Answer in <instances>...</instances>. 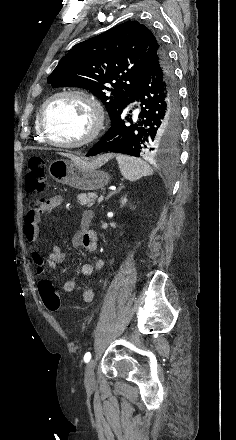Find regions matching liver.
<instances>
[{
  "label": "liver",
  "mask_w": 236,
  "mask_h": 440,
  "mask_svg": "<svg viewBox=\"0 0 236 440\" xmlns=\"http://www.w3.org/2000/svg\"><path fill=\"white\" fill-rule=\"evenodd\" d=\"M61 155L65 156V157H68V158H70L72 160L78 161V162H80V163H82L84 165H88L89 167H92V168H98V167L102 166L109 159H111L113 157L112 154H107V155H103V156L98 157L97 159L93 160L92 162L87 163V162L81 160L79 157H77V156H75L73 154H70V153H61Z\"/></svg>",
  "instance_id": "1"
}]
</instances>
